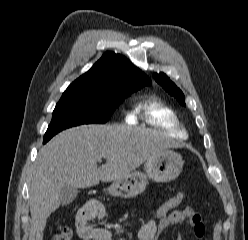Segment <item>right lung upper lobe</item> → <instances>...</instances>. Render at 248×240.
Here are the masks:
<instances>
[{
  "instance_id": "cb5924a9",
  "label": "right lung upper lobe",
  "mask_w": 248,
  "mask_h": 240,
  "mask_svg": "<svg viewBox=\"0 0 248 240\" xmlns=\"http://www.w3.org/2000/svg\"><path fill=\"white\" fill-rule=\"evenodd\" d=\"M130 80L151 82L141 70L125 57L107 52L88 72L70 84L66 90L111 88Z\"/></svg>"
}]
</instances>
